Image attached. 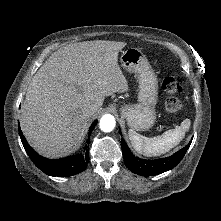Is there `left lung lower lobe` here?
<instances>
[{"label": "left lung lower lobe", "mask_w": 221, "mask_h": 221, "mask_svg": "<svg viewBox=\"0 0 221 221\" xmlns=\"http://www.w3.org/2000/svg\"><path fill=\"white\" fill-rule=\"evenodd\" d=\"M190 144L191 142L169 157L156 160H146L135 157L125 141L123 139L121 140L125 165L130 171L141 176H154L171 170L182 160Z\"/></svg>", "instance_id": "left-lung-lower-lobe-1"}]
</instances>
